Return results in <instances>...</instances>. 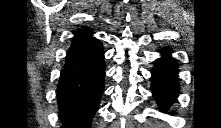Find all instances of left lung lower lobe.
Wrapping results in <instances>:
<instances>
[{
    "label": "left lung lower lobe",
    "instance_id": "obj_1",
    "mask_svg": "<svg viewBox=\"0 0 221 128\" xmlns=\"http://www.w3.org/2000/svg\"><path fill=\"white\" fill-rule=\"evenodd\" d=\"M162 57L157 59L152 69V93L162 110H166L175 100L179 91L178 68L170 51L161 50Z\"/></svg>",
    "mask_w": 221,
    "mask_h": 128
}]
</instances>
